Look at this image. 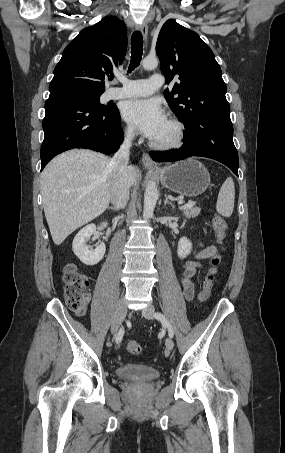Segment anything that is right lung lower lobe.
I'll list each match as a JSON object with an SVG mask.
<instances>
[{
    "instance_id": "right-lung-lower-lobe-1",
    "label": "right lung lower lobe",
    "mask_w": 285,
    "mask_h": 453,
    "mask_svg": "<svg viewBox=\"0 0 285 453\" xmlns=\"http://www.w3.org/2000/svg\"><path fill=\"white\" fill-rule=\"evenodd\" d=\"M43 130L41 170L53 157L69 149L86 148L111 154L123 141L117 107L97 111L73 91L50 92Z\"/></svg>"
}]
</instances>
